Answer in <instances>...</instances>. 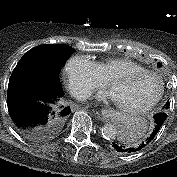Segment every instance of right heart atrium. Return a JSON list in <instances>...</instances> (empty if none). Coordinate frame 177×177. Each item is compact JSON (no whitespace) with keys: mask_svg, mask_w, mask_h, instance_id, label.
Here are the masks:
<instances>
[{"mask_svg":"<svg viewBox=\"0 0 177 177\" xmlns=\"http://www.w3.org/2000/svg\"><path fill=\"white\" fill-rule=\"evenodd\" d=\"M65 72L69 88L78 98L88 97L106 85L96 63L84 55L71 57L66 63Z\"/></svg>","mask_w":177,"mask_h":177,"instance_id":"d8ad5b80","label":"right heart atrium"}]
</instances>
